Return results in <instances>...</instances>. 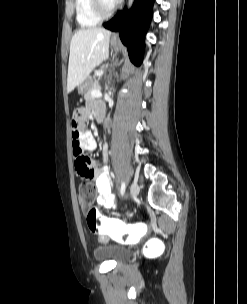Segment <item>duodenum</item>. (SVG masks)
Listing matches in <instances>:
<instances>
[{
  "mask_svg": "<svg viewBox=\"0 0 247 304\" xmlns=\"http://www.w3.org/2000/svg\"><path fill=\"white\" fill-rule=\"evenodd\" d=\"M88 82H91V79H88ZM95 116H96L97 121H101L104 117V110L103 109H98L95 112Z\"/></svg>",
  "mask_w": 247,
  "mask_h": 304,
  "instance_id": "obj_1",
  "label": "duodenum"
}]
</instances>
